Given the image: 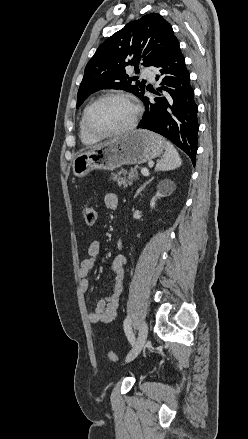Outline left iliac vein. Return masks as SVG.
Listing matches in <instances>:
<instances>
[{
  "mask_svg": "<svg viewBox=\"0 0 248 439\" xmlns=\"http://www.w3.org/2000/svg\"><path fill=\"white\" fill-rule=\"evenodd\" d=\"M147 334H148V326L147 323L143 321L139 327V332L135 344L133 345L132 349L126 356L125 361L127 363L131 362L139 355L146 342Z\"/></svg>",
  "mask_w": 248,
  "mask_h": 439,
  "instance_id": "obj_1",
  "label": "left iliac vein"
}]
</instances>
